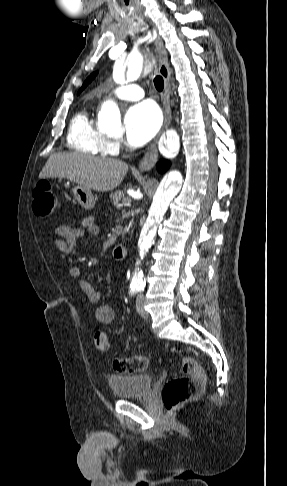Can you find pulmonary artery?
<instances>
[{
    "mask_svg": "<svg viewBox=\"0 0 287 486\" xmlns=\"http://www.w3.org/2000/svg\"><path fill=\"white\" fill-rule=\"evenodd\" d=\"M109 95L122 100L137 101L144 97V91L136 84H127L115 88Z\"/></svg>",
    "mask_w": 287,
    "mask_h": 486,
    "instance_id": "pulmonary-artery-1",
    "label": "pulmonary artery"
}]
</instances>
